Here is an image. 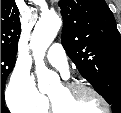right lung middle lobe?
Returning <instances> with one entry per match:
<instances>
[{
	"label": "right lung middle lobe",
	"instance_id": "obj_1",
	"mask_svg": "<svg viewBox=\"0 0 121 113\" xmlns=\"http://www.w3.org/2000/svg\"><path fill=\"white\" fill-rule=\"evenodd\" d=\"M15 64V55L1 53V104L5 103L4 86L5 81Z\"/></svg>",
	"mask_w": 121,
	"mask_h": 113
}]
</instances>
